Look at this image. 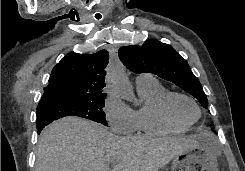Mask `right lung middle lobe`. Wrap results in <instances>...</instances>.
<instances>
[{
  "label": "right lung middle lobe",
  "mask_w": 245,
  "mask_h": 171,
  "mask_svg": "<svg viewBox=\"0 0 245 171\" xmlns=\"http://www.w3.org/2000/svg\"><path fill=\"white\" fill-rule=\"evenodd\" d=\"M106 94L87 98L49 99L38 104L37 117L59 119L79 116L107 126L103 111Z\"/></svg>",
  "instance_id": "dd1d6c3e"
}]
</instances>
